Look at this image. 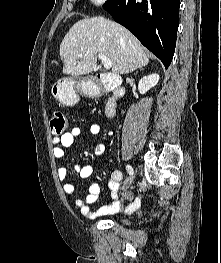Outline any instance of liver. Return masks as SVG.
<instances>
[{
	"label": "liver",
	"instance_id": "liver-1",
	"mask_svg": "<svg viewBox=\"0 0 221 263\" xmlns=\"http://www.w3.org/2000/svg\"><path fill=\"white\" fill-rule=\"evenodd\" d=\"M103 53L114 74H128L149 63L138 39L126 28L102 16L77 21L60 45L63 73L89 74ZM82 54V56H79Z\"/></svg>",
	"mask_w": 221,
	"mask_h": 263
}]
</instances>
